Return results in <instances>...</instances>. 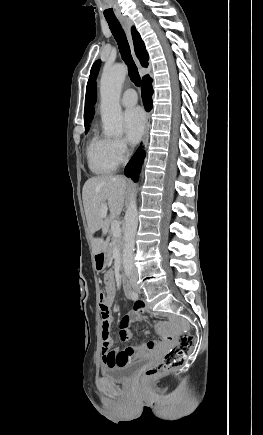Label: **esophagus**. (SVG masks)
Instances as JSON below:
<instances>
[{
  "label": "esophagus",
  "mask_w": 263,
  "mask_h": 435,
  "mask_svg": "<svg viewBox=\"0 0 263 435\" xmlns=\"http://www.w3.org/2000/svg\"><path fill=\"white\" fill-rule=\"evenodd\" d=\"M120 22H121V24L126 32V35H127V38H128L129 44H130V48H131V54L134 58V61L140 67L139 60L137 59L135 52H134L133 40H132V36H131L132 22L128 18H121ZM149 128H150V115H149V113H147L146 114L145 131H144V136H143V140H142V146L147 145Z\"/></svg>",
  "instance_id": "34e87169"
}]
</instances>
